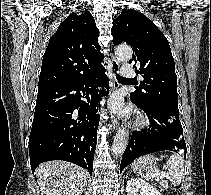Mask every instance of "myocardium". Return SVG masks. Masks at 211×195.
<instances>
[{"instance_id": "obj_1", "label": "myocardium", "mask_w": 211, "mask_h": 195, "mask_svg": "<svg viewBox=\"0 0 211 195\" xmlns=\"http://www.w3.org/2000/svg\"><path fill=\"white\" fill-rule=\"evenodd\" d=\"M136 125L142 129L147 128L150 125V119L146 116H141L137 119Z\"/></svg>"}]
</instances>
